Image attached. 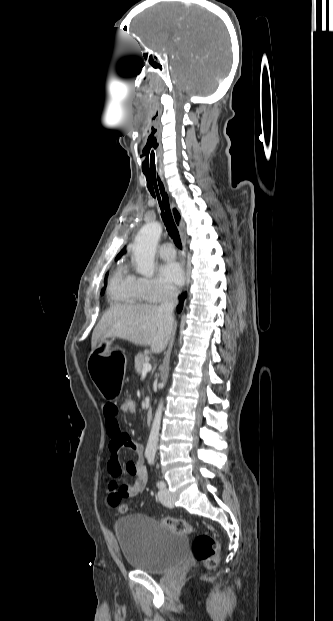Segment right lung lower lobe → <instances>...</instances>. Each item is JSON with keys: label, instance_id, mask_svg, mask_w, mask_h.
<instances>
[{"label": "right lung lower lobe", "instance_id": "obj_1", "mask_svg": "<svg viewBox=\"0 0 333 621\" xmlns=\"http://www.w3.org/2000/svg\"><path fill=\"white\" fill-rule=\"evenodd\" d=\"M186 296H187V293H186V292L180 296V298H179V300H180V304H179V305H178V307H177L178 311H181V310H182V307H183V302H184V299L186 298Z\"/></svg>", "mask_w": 333, "mask_h": 621}]
</instances>
